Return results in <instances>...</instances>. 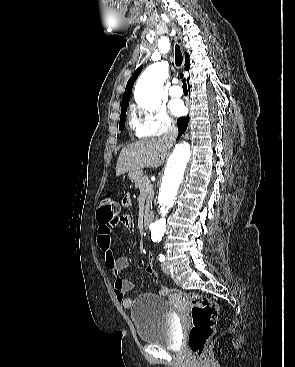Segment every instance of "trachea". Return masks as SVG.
Masks as SVG:
<instances>
[{
	"mask_svg": "<svg viewBox=\"0 0 295 367\" xmlns=\"http://www.w3.org/2000/svg\"><path fill=\"white\" fill-rule=\"evenodd\" d=\"M183 61V56H182V52L180 50L179 45L175 46V64L177 67H180ZM183 91H188L187 90V84L183 83Z\"/></svg>",
	"mask_w": 295,
	"mask_h": 367,
	"instance_id": "3493384b",
	"label": "trachea"
}]
</instances>
